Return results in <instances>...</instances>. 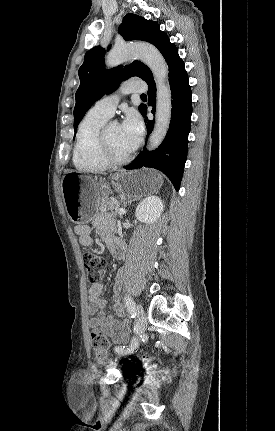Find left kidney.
I'll use <instances>...</instances> for the list:
<instances>
[{"instance_id": "5707ae66", "label": "left kidney", "mask_w": 275, "mask_h": 431, "mask_svg": "<svg viewBox=\"0 0 275 431\" xmlns=\"http://www.w3.org/2000/svg\"><path fill=\"white\" fill-rule=\"evenodd\" d=\"M163 210L162 200L157 196H149L138 204L135 216L140 222L152 224L160 218Z\"/></svg>"}]
</instances>
